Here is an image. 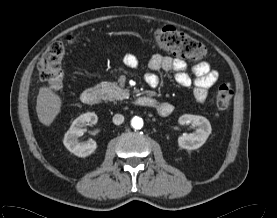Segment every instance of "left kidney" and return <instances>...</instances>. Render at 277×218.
I'll return each mask as SVG.
<instances>
[{
    "label": "left kidney",
    "instance_id": "left-kidney-1",
    "mask_svg": "<svg viewBox=\"0 0 277 218\" xmlns=\"http://www.w3.org/2000/svg\"><path fill=\"white\" fill-rule=\"evenodd\" d=\"M178 122L181 125L193 124L197 126L195 132L183 134L178 138V145L183 149H198L206 142L212 131L211 124L208 119L200 115L184 114L179 117Z\"/></svg>",
    "mask_w": 277,
    "mask_h": 218
}]
</instances>
